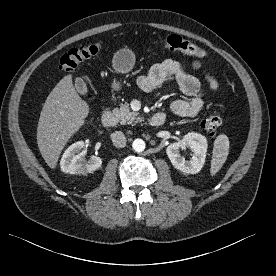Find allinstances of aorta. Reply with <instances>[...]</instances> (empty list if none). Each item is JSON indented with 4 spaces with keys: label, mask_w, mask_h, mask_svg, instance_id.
I'll list each match as a JSON object with an SVG mask.
<instances>
[{
    "label": "aorta",
    "mask_w": 276,
    "mask_h": 276,
    "mask_svg": "<svg viewBox=\"0 0 276 276\" xmlns=\"http://www.w3.org/2000/svg\"><path fill=\"white\" fill-rule=\"evenodd\" d=\"M132 147L136 152H142L145 150L146 144L142 139H135L132 143Z\"/></svg>",
    "instance_id": "1"
}]
</instances>
